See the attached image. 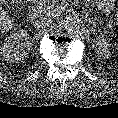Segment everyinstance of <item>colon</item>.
Returning <instances> with one entry per match:
<instances>
[{"mask_svg": "<svg viewBox=\"0 0 118 118\" xmlns=\"http://www.w3.org/2000/svg\"><path fill=\"white\" fill-rule=\"evenodd\" d=\"M10 1H12V2H17V1H22V0H10Z\"/></svg>", "mask_w": 118, "mask_h": 118, "instance_id": "colon-1", "label": "colon"}]
</instances>
